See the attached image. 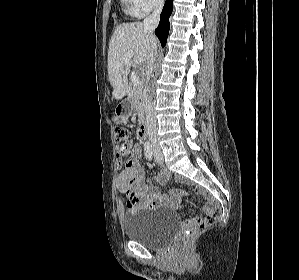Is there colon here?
I'll return each mask as SVG.
<instances>
[{"instance_id": "5ec220e1", "label": "colon", "mask_w": 299, "mask_h": 280, "mask_svg": "<svg viewBox=\"0 0 299 280\" xmlns=\"http://www.w3.org/2000/svg\"><path fill=\"white\" fill-rule=\"evenodd\" d=\"M114 135L119 163L123 165L125 168H127L130 164V158L128 154L129 132L122 127H117L114 131ZM216 219L217 213L216 211H214L208 217L203 218L196 223L186 225L181 235L182 241L184 243L188 242L200 230L213 224L216 221Z\"/></svg>"}]
</instances>
